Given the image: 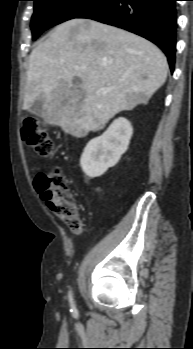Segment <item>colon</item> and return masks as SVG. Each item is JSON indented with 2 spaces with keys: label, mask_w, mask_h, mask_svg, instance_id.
Wrapping results in <instances>:
<instances>
[{
  "label": "colon",
  "mask_w": 193,
  "mask_h": 349,
  "mask_svg": "<svg viewBox=\"0 0 193 349\" xmlns=\"http://www.w3.org/2000/svg\"><path fill=\"white\" fill-rule=\"evenodd\" d=\"M21 136L23 141L33 147L40 157L50 158L53 156L54 142L35 118L31 116L23 118ZM35 186L50 210L72 232H79L81 219L77 203L67 186L62 170L54 168L47 173H40L35 180Z\"/></svg>",
  "instance_id": "1"
}]
</instances>
